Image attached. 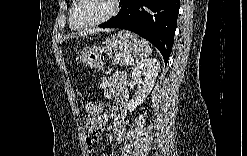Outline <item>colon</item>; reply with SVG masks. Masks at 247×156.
Returning a JSON list of instances; mask_svg holds the SVG:
<instances>
[{
  "label": "colon",
  "mask_w": 247,
  "mask_h": 156,
  "mask_svg": "<svg viewBox=\"0 0 247 156\" xmlns=\"http://www.w3.org/2000/svg\"><path fill=\"white\" fill-rule=\"evenodd\" d=\"M103 106H105V101H94L93 107H89L86 110L83 125L85 126V130H90L91 135L98 133L99 125L96 124L101 121Z\"/></svg>",
  "instance_id": "obj_1"
}]
</instances>
